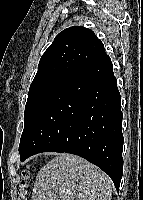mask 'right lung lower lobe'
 <instances>
[{
	"instance_id": "98d812e1",
	"label": "right lung lower lobe",
	"mask_w": 143,
	"mask_h": 200,
	"mask_svg": "<svg viewBox=\"0 0 143 200\" xmlns=\"http://www.w3.org/2000/svg\"><path fill=\"white\" fill-rule=\"evenodd\" d=\"M120 93L109 56L69 75L35 114L19 146L20 160L40 152L76 154L108 174L123 175Z\"/></svg>"
}]
</instances>
